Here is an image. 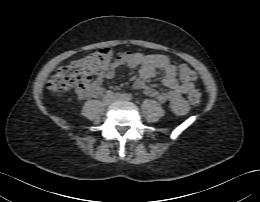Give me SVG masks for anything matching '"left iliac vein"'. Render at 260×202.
Returning <instances> with one entry per match:
<instances>
[{"instance_id": "4c4485c4", "label": "left iliac vein", "mask_w": 260, "mask_h": 202, "mask_svg": "<svg viewBox=\"0 0 260 202\" xmlns=\"http://www.w3.org/2000/svg\"><path fill=\"white\" fill-rule=\"evenodd\" d=\"M113 100H127L126 96L124 94H115L114 97H113Z\"/></svg>"}]
</instances>
